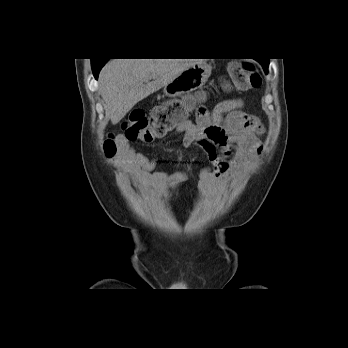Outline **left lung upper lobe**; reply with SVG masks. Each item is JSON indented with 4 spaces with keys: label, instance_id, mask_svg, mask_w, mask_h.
<instances>
[{
    "label": "left lung upper lobe",
    "instance_id": "left-lung-upper-lobe-1",
    "mask_svg": "<svg viewBox=\"0 0 348 348\" xmlns=\"http://www.w3.org/2000/svg\"><path fill=\"white\" fill-rule=\"evenodd\" d=\"M260 63L262 64L265 71H267L268 65H269V59H265V60L261 61Z\"/></svg>",
    "mask_w": 348,
    "mask_h": 348
}]
</instances>
